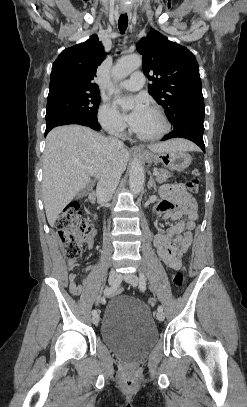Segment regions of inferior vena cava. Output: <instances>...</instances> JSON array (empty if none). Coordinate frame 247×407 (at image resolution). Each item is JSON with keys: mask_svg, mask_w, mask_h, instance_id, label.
<instances>
[{"mask_svg": "<svg viewBox=\"0 0 247 407\" xmlns=\"http://www.w3.org/2000/svg\"><path fill=\"white\" fill-rule=\"evenodd\" d=\"M109 140L115 146H118V147L123 146V142L118 139L110 137ZM120 176H121V174L119 172L110 171V172L104 173L99 178V181L97 184V195L101 201L107 202L112 198L113 192L119 183Z\"/></svg>", "mask_w": 247, "mask_h": 407, "instance_id": "obj_1", "label": "inferior vena cava"}]
</instances>
